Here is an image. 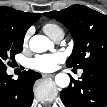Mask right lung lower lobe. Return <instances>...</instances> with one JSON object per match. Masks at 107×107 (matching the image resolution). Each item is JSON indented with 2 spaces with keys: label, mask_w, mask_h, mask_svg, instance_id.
Returning <instances> with one entry per match:
<instances>
[{
  "label": "right lung lower lobe",
  "mask_w": 107,
  "mask_h": 107,
  "mask_svg": "<svg viewBox=\"0 0 107 107\" xmlns=\"http://www.w3.org/2000/svg\"><path fill=\"white\" fill-rule=\"evenodd\" d=\"M41 74L24 71L17 80L0 69V107H30L33 102V84Z\"/></svg>",
  "instance_id": "obj_1"
}]
</instances>
